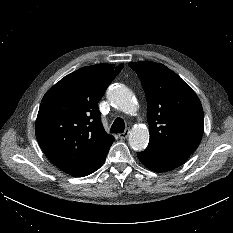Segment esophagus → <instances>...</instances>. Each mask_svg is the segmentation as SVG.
Here are the masks:
<instances>
[{"label":"esophagus","instance_id":"esophagus-1","mask_svg":"<svg viewBox=\"0 0 233 233\" xmlns=\"http://www.w3.org/2000/svg\"><path fill=\"white\" fill-rule=\"evenodd\" d=\"M129 130H125L123 133L119 134L120 139H126L128 137Z\"/></svg>","mask_w":233,"mask_h":233}]
</instances>
